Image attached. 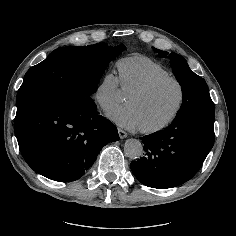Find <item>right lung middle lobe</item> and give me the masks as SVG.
<instances>
[{
	"label": "right lung middle lobe",
	"instance_id": "right-lung-middle-lobe-1",
	"mask_svg": "<svg viewBox=\"0 0 236 236\" xmlns=\"http://www.w3.org/2000/svg\"><path fill=\"white\" fill-rule=\"evenodd\" d=\"M125 47L107 44L69 46L54 50L44 61L31 67L17 93V112L49 99L76 97L91 102L109 62Z\"/></svg>",
	"mask_w": 236,
	"mask_h": 236
}]
</instances>
